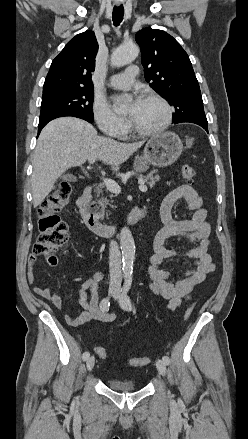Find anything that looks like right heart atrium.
Returning <instances> with one entry per match:
<instances>
[{"label": "right heart atrium", "mask_w": 248, "mask_h": 439, "mask_svg": "<svg viewBox=\"0 0 248 439\" xmlns=\"http://www.w3.org/2000/svg\"><path fill=\"white\" fill-rule=\"evenodd\" d=\"M93 117L100 131L109 137H120L128 128L125 118L117 115L103 99H96L93 104Z\"/></svg>", "instance_id": "d8ad5b80"}]
</instances>
